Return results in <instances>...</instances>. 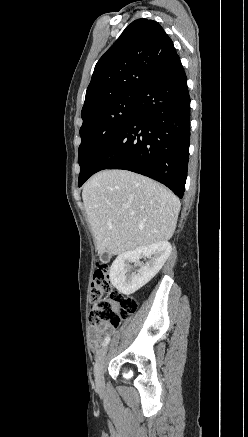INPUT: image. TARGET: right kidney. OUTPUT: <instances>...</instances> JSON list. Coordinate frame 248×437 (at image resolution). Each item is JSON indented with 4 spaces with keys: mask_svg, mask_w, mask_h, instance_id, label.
<instances>
[{
    "mask_svg": "<svg viewBox=\"0 0 248 437\" xmlns=\"http://www.w3.org/2000/svg\"><path fill=\"white\" fill-rule=\"evenodd\" d=\"M172 251L168 241L136 248L120 254L112 263L109 276L112 285L122 294L130 295L146 285L162 268ZM142 257L149 258L145 264H140ZM137 263L140 269L129 272V263Z\"/></svg>",
    "mask_w": 248,
    "mask_h": 437,
    "instance_id": "right-kidney-1",
    "label": "right kidney"
}]
</instances>
